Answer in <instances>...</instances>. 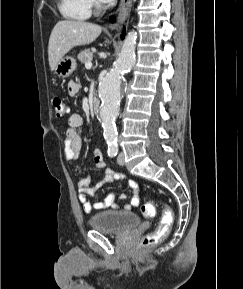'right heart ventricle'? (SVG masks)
Listing matches in <instances>:
<instances>
[{
	"label": "right heart ventricle",
	"instance_id": "right-heart-ventricle-1",
	"mask_svg": "<svg viewBox=\"0 0 243 289\" xmlns=\"http://www.w3.org/2000/svg\"><path fill=\"white\" fill-rule=\"evenodd\" d=\"M58 9L70 20L84 21L91 16L90 0H59Z\"/></svg>",
	"mask_w": 243,
	"mask_h": 289
}]
</instances>
